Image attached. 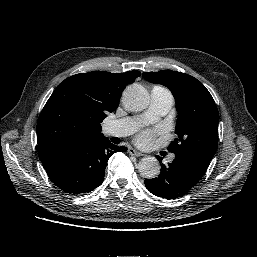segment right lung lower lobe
<instances>
[{"label": "right lung lower lobe", "mask_w": 257, "mask_h": 257, "mask_svg": "<svg viewBox=\"0 0 257 257\" xmlns=\"http://www.w3.org/2000/svg\"><path fill=\"white\" fill-rule=\"evenodd\" d=\"M127 151L108 138L82 141L62 147L41 159L50 179L61 190L81 194L101 185L108 159Z\"/></svg>", "instance_id": "right-lung-lower-lobe-1"}]
</instances>
